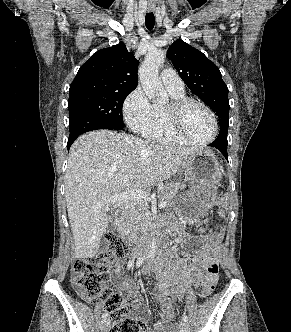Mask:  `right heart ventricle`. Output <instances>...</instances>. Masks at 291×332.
Masks as SVG:
<instances>
[{
	"instance_id": "obj_1",
	"label": "right heart ventricle",
	"mask_w": 291,
	"mask_h": 332,
	"mask_svg": "<svg viewBox=\"0 0 291 332\" xmlns=\"http://www.w3.org/2000/svg\"><path fill=\"white\" fill-rule=\"evenodd\" d=\"M172 99L186 98L184 93L170 92ZM142 135L151 141L162 144H174V145H188L189 142L178 136L171 128L167 114L166 107L155 105L153 106V122L152 124L141 131Z\"/></svg>"
}]
</instances>
